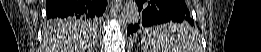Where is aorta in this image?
<instances>
[{
  "label": "aorta",
  "mask_w": 261,
  "mask_h": 52,
  "mask_svg": "<svg viewBox=\"0 0 261 52\" xmlns=\"http://www.w3.org/2000/svg\"><path fill=\"white\" fill-rule=\"evenodd\" d=\"M120 18L125 24H135L139 18L137 2L134 0H126Z\"/></svg>",
  "instance_id": "obj_1"
}]
</instances>
